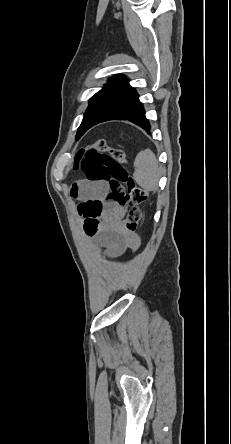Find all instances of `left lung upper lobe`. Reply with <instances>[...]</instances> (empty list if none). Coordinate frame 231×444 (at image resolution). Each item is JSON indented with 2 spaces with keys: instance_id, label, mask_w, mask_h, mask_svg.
Instances as JSON below:
<instances>
[{
  "instance_id": "5c2ea615",
  "label": "left lung upper lobe",
  "mask_w": 231,
  "mask_h": 444,
  "mask_svg": "<svg viewBox=\"0 0 231 444\" xmlns=\"http://www.w3.org/2000/svg\"><path fill=\"white\" fill-rule=\"evenodd\" d=\"M128 82L122 76H114L90 99L89 107L78 128L77 138H80L91 125L117 114L123 105L136 94V90Z\"/></svg>"
}]
</instances>
